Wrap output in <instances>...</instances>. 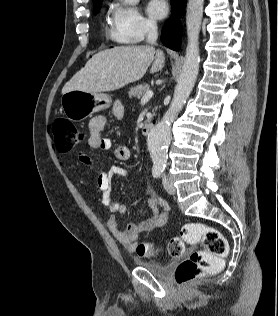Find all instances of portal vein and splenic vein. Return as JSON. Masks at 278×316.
Masks as SVG:
<instances>
[{"instance_id":"18ae733b","label":"portal vein and splenic vein","mask_w":278,"mask_h":316,"mask_svg":"<svg viewBox=\"0 0 278 316\" xmlns=\"http://www.w3.org/2000/svg\"><path fill=\"white\" fill-rule=\"evenodd\" d=\"M153 91L152 90H148L142 97L141 99V103H145L148 102L152 97H153Z\"/></svg>"}]
</instances>
